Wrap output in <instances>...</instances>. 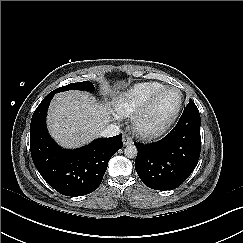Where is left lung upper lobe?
Masks as SVG:
<instances>
[{"label":"left lung upper lobe","mask_w":243,"mask_h":243,"mask_svg":"<svg viewBox=\"0 0 243 243\" xmlns=\"http://www.w3.org/2000/svg\"><path fill=\"white\" fill-rule=\"evenodd\" d=\"M187 106H193L196 107V105L194 104V102L192 100L189 101V103L187 104Z\"/></svg>","instance_id":"left-lung-upper-lobe-1"}]
</instances>
